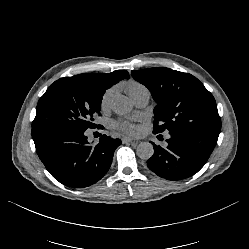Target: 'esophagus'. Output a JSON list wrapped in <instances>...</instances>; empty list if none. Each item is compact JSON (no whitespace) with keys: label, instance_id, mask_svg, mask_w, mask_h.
<instances>
[{"label":"esophagus","instance_id":"1","mask_svg":"<svg viewBox=\"0 0 249 249\" xmlns=\"http://www.w3.org/2000/svg\"><path fill=\"white\" fill-rule=\"evenodd\" d=\"M132 141H133L132 138L127 137V136H125V137L122 138V142H123V143H130V142H132Z\"/></svg>","mask_w":249,"mask_h":249}]
</instances>
